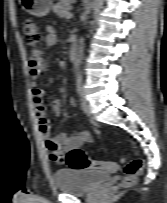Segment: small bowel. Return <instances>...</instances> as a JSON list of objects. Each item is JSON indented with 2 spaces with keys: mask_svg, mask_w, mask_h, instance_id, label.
I'll list each match as a JSON object with an SVG mask.
<instances>
[{
  "mask_svg": "<svg viewBox=\"0 0 167 203\" xmlns=\"http://www.w3.org/2000/svg\"><path fill=\"white\" fill-rule=\"evenodd\" d=\"M57 41L55 31L52 28L48 29V34L44 38L45 46H53ZM48 70V65L39 57L31 58L29 61V76L35 84L38 78ZM46 91L40 88L32 90V100L34 105V115L39 126L40 132L44 136L45 145L50 153V159L57 163L64 161V152L73 148L79 147L84 143L90 142L92 136L88 131L78 130L72 133H59L56 136L50 134V124L46 116V109L43 103ZM75 101L71 100L70 105L75 106ZM51 107L56 115L60 114L61 102L55 98L51 102ZM117 165L114 163H106V170H114Z\"/></svg>",
  "mask_w": 167,
  "mask_h": 203,
  "instance_id": "obj_1",
  "label": "small bowel"
}]
</instances>
